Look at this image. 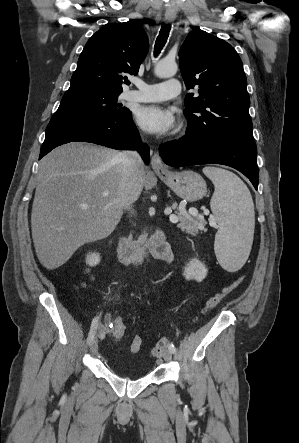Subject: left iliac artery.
<instances>
[{"instance_id":"obj_1","label":"left iliac artery","mask_w":299,"mask_h":443,"mask_svg":"<svg viewBox=\"0 0 299 443\" xmlns=\"http://www.w3.org/2000/svg\"><path fill=\"white\" fill-rule=\"evenodd\" d=\"M168 349H169L172 353H175V352H176V348H175L174 344H172V343L169 344Z\"/></svg>"}]
</instances>
